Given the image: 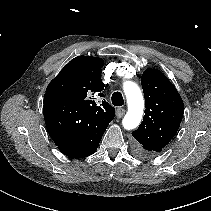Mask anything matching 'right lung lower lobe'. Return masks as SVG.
<instances>
[{
	"label": "right lung lower lobe",
	"mask_w": 211,
	"mask_h": 211,
	"mask_svg": "<svg viewBox=\"0 0 211 211\" xmlns=\"http://www.w3.org/2000/svg\"><path fill=\"white\" fill-rule=\"evenodd\" d=\"M43 107L48 132L63 154L84 158L96 151L107 126L79 122V105L66 96L45 93Z\"/></svg>",
	"instance_id": "1"
}]
</instances>
